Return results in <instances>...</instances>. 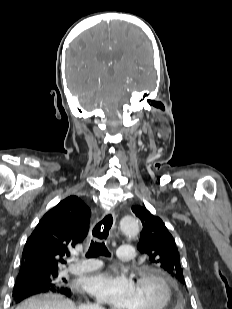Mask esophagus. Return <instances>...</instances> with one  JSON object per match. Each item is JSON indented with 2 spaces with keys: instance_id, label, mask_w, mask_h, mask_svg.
I'll return each mask as SVG.
<instances>
[{
  "instance_id": "34e87169",
  "label": "esophagus",
  "mask_w": 232,
  "mask_h": 309,
  "mask_svg": "<svg viewBox=\"0 0 232 309\" xmlns=\"http://www.w3.org/2000/svg\"><path fill=\"white\" fill-rule=\"evenodd\" d=\"M115 225V214L112 210L103 214L91 228L90 234L96 241H107Z\"/></svg>"
}]
</instances>
